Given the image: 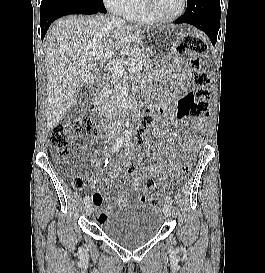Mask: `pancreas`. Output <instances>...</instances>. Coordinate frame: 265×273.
Returning <instances> with one entry per match:
<instances>
[{"mask_svg": "<svg viewBox=\"0 0 265 273\" xmlns=\"http://www.w3.org/2000/svg\"><path fill=\"white\" fill-rule=\"evenodd\" d=\"M148 55L140 48H135L133 51L126 52L120 59V62L128 64L130 67H135V72L141 71L149 63ZM122 89V78L120 75L113 74L110 84L105 85L99 92V98L96 101L98 110L108 111L111 109L115 101L117 92Z\"/></svg>", "mask_w": 265, "mask_h": 273, "instance_id": "cf45deb5", "label": "pancreas"}]
</instances>
